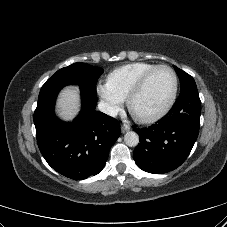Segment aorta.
<instances>
[{
    "instance_id": "1",
    "label": "aorta",
    "mask_w": 227,
    "mask_h": 227,
    "mask_svg": "<svg viewBox=\"0 0 227 227\" xmlns=\"http://www.w3.org/2000/svg\"><path fill=\"white\" fill-rule=\"evenodd\" d=\"M124 142L130 147H135L139 143V136L133 131H129L124 135Z\"/></svg>"
}]
</instances>
